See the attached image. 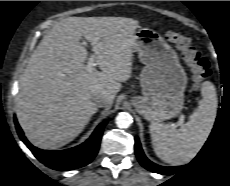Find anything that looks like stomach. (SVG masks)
I'll return each mask as SVG.
<instances>
[{"label":"stomach","instance_id":"stomach-1","mask_svg":"<svg viewBox=\"0 0 230 186\" xmlns=\"http://www.w3.org/2000/svg\"><path fill=\"white\" fill-rule=\"evenodd\" d=\"M133 50L145 65L140 74L142 96L131 99L136 111L149 121H164L183 109L187 75L177 53L149 28L135 32Z\"/></svg>","mask_w":230,"mask_h":186}]
</instances>
